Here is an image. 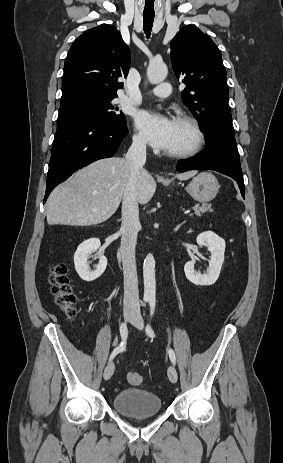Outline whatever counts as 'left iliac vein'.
<instances>
[{
    "label": "left iliac vein",
    "instance_id": "left-iliac-vein-1",
    "mask_svg": "<svg viewBox=\"0 0 283 463\" xmlns=\"http://www.w3.org/2000/svg\"><path fill=\"white\" fill-rule=\"evenodd\" d=\"M130 322L138 329L142 330L144 327V321L140 312H135L134 316L130 319ZM168 378L172 383H176L178 374L176 368L171 365L168 368Z\"/></svg>",
    "mask_w": 283,
    "mask_h": 463
}]
</instances>
